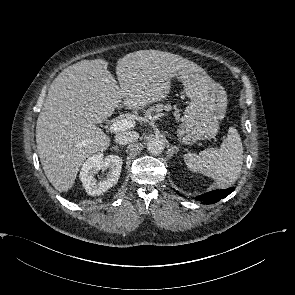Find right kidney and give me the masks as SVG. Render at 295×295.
I'll return each instance as SVG.
<instances>
[{
    "label": "right kidney",
    "mask_w": 295,
    "mask_h": 295,
    "mask_svg": "<svg viewBox=\"0 0 295 295\" xmlns=\"http://www.w3.org/2000/svg\"><path fill=\"white\" fill-rule=\"evenodd\" d=\"M122 164V159L117 155L104 157L102 153H98L89 157L80 171V180L87 194L100 195L114 186L118 182ZM100 170H108V172L101 180L97 181L95 174Z\"/></svg>",
    "instance_id": "right-kidney-1"
}]
</instances>
